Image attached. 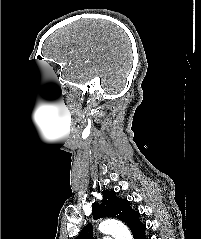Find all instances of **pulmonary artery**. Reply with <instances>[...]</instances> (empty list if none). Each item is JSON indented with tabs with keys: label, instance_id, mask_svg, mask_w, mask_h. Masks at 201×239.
<instances>
[{
	"label": "pulmonary artery",
	"instance_id": "e3ab8cb5",
	"mask_svg": "<svg viewBox=\"0 0 201 239\" xmlns=\"http://www.w3.org/2000/svg\"><path fill=\"white\" fill-rule=\"evenodd\" d=\"M101 239H113L112 236H103Z\"/></svg>",
	"mask_w": 201,
	"mask_h": 239
}]
</instances>
